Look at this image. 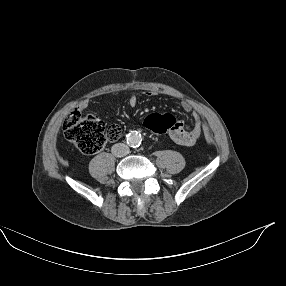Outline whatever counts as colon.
I'll use <instances>...</instances> for the list:
<instances>
[{"label": "colon", "mask_w": 286, "mask_h": 286, "mask_svg": "<svg viewBox=\"0 0 286 286\" xmlns=\"http://www.w3.org/2000/svg\"><path fill=\"white\" fill-rule=\"evenodd\" d=\"M179 124L170 113H150L142 121L144 130L154 136H166ZM65 137L83 154L92 155L99 152L107 142L120 138L121 128L116 124L106 125L95 115H82L73 110L64 121Z\"/></svg>", "instance_id": "obj_1"}]
</instances>
